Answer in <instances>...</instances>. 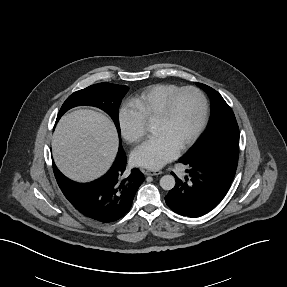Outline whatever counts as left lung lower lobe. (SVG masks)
<instances>
[{
	"label": "left lung lower lobe",
	"mask_w": 287,
	"mask_h": 287,
	"mask_svg": "<svg viewBox=\"0 0 287 287\" xmlns=\"http://www.w3.org/2000/svg\"><path fill=\"white\" fill-rule=\"evenodd\" d=\"M183 163V162H181ZM190 179L180 180L174 173L176 185L165 196L174 212L188 217L202 216L215 208L226 195L237 167L219 163H183Z\"/></svg>",
	"instance_id": "0a47b994"
}]
</instances>
